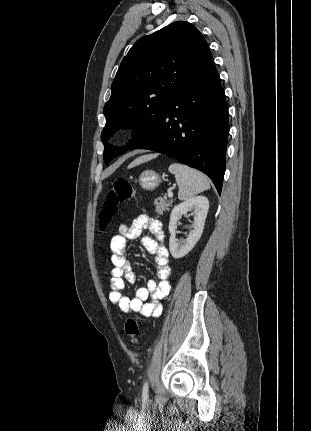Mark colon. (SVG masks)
<instances>
[{"label":"colon","mask_w":311,"mask_h":431,"mask_svg":"<svg viewBox=\"0 0 311 431\" xmlns=\"http://www.w3.org/2000/svg\"><path fill=\"white\" fill-rule=\"evenodd\" d=\"M137 195L131 183L122 177L116 178L108 191L102 210L99 214L101 228H105L116 215L119 205L126 203ZM125 332L133 344L138 343L139 324L136 319H128L125 323Z\"/></svg>","instance_id":"colon-1"}]
</instances>
